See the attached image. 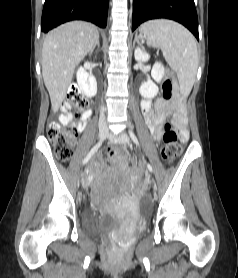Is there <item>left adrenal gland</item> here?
Wrapping results in <instances>:
<instances>
[{"instance_id": "left-adrenal-gland-1", "label": "left adrenal gland", "mask_w": 238, "mask_h": 278, "mask_svg": "<svg viewBox=\"0 0 238 278\" xmlns=\"http://www.w3.org/2000/svg\"><path fill=\"white\" fill-rule=\"evenodd\" d=\"M139 39H140V37H139L138 35H136V36H135V39H134V44H135L136 42H137L138 44H140Z\"/></svg>"}]
</instances>
